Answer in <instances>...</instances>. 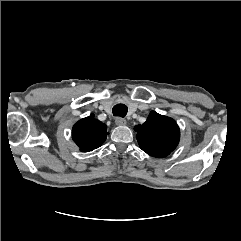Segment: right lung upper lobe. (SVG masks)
I'll use <instances>...</instances> for the list:
<instances>
[{"label":"right lung upper lobe","mask_w":241,"mask_h":241,"mask_svg":"<svg viewBox=\"0 0 241 241\" xmlns=\"http://www.w3.org/2000/svg\"><path fill=\"white\" fill-rule=\"evenodd\" d=\"M107 134V126L95 119L93 114L79 120L72 129L73 140L82 152L100 147L106 140Z\"/></svg>","instance_id":"cb5924a9"}]
</instances>
